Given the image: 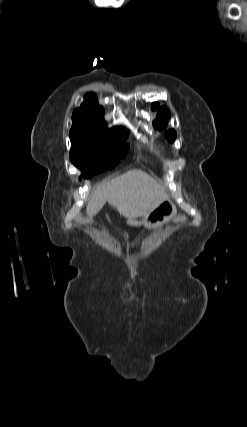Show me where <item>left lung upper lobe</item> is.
<instances>
[{"label":"left lung upper lobe","mask_w":247,"mask_h":427,"mask_svg":"<svg viewBox=\"0 0 247 427\" xmlns=\"http://www.w3.org/2000/svg\"><path fill=\"white\" fill-rule=\"evenodd\" d=\"M158 109V119L153 122V126L155 129L162 130L166 127V122L169 119V110L166 107L159 108L158 103H153L152 110ZM165 137L169 142H173L176 138V132L174 130H168L165 132Z\"/></svg>","instance_id":"left-lung-upper-lobe-1"}]
</instances>
